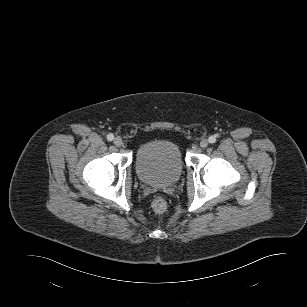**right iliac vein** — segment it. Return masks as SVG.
<instances>
[{"label":"right iliac vein","instance_id":"1","mask_svg":"<svg viewBox=\"0 0 307 307\" xmlns=\"http://www.w3.org/2000/svg\"><path fill=\"white\" fill-rule=\"evenodd\" d=\"M123 141L120 137H116L114 139V144L117 146V147H120L122 145Z\"/></svg>","mask_w":307,"mask_h":307}]
</instances>
